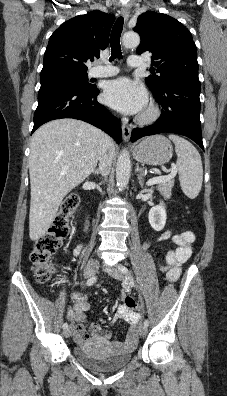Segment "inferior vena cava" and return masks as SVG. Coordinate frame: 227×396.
<instances>
[{
  "mask_svg": "<svg viewBox=\"0 0 227 396\" xmlns=\"http://www.w3.org/2000/svg\"><path fill=\"white\" fill-rule=\"evenodd\" d=\"M108 136L105 138V142L102 146V151L99 157V170L103 176H107L111 169V164L113 160V154L109 150L108 146Z\"/></svg>",
  "mask_w": 227,
  "mask_h": 396,
  "instance_id": "602c4592",
  "label": "inferior vena cava"
}]
</instances>
